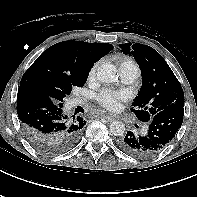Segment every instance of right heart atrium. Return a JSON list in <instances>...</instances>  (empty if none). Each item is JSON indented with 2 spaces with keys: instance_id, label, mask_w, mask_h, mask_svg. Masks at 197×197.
<instances>
[{
  "instance_id": "obj_1",
  "label": "right heart atrium",
  "mask_w": 197,
  "mask_h": 197,
  "mask_svg": "<svg viewBox=\"0 0 197 197\" xmlns=\"http://www.w3.org/2000/svg\"><path fill=\"white\" fill-rule=\"evenodd\" d=\"M97 66H98V63L94 64V65L92 66V68L90 69V72H89V77H90V79H92V78L95 77L96 70H97Z\"/></svg>"
}]
</instances>
